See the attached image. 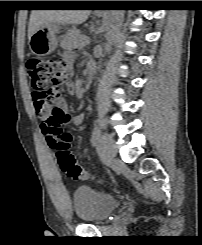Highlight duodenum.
<instances>
[{"label":"duodenum","mask_w":202,"mask_h":245,"mask_svg":"<svg viewBox=\"0 0 202 245\" xmlns=\"http://www.w3.org/2000/svg\"><path fill=\"white\" fill-rule=\"evenodd\" d=\"M86 73H87V76H86L85 84H86V86H89V85H91V83L93 82L94 77H95V67L93 64L87 65Z\"/></svg>","instance_id":"obj_1"}]
</instances>
